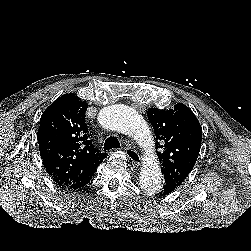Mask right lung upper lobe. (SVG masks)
Listing matches in <instances>:
<instances>
[{"instance_id":"obj_1","label":"right lung upper lobe","mask_w":251,"mask_h":251,"mask_svg":"<svg viewBox=\"0 0 251 251\" xmlns=\"http://www.w3.org/2000/svg\"><path fill=\"white\" fill-rule=\"evenodd\" d=\"M88 105L75 94H64L42 114L37 139L42 162L59 186L84 187L105 158L90 139Z\"/></svg>"}]
</instances>
